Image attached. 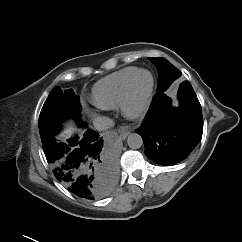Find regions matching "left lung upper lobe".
<instances>
[{
    "label": "left lung upper lobe",
    "mask_w": 242,
    "mask_h": 242,
    "mask_svg": "<svg viewBox=\"0 0 242 242\" xmlns=\"http://www.w3.org/2000/svg\"><path fill=\"white\" fill-rule=\"evenodd\" d=\"M149 60L156 65L159 74L158 88L156 92H164L170 84L181 75V72L167 59L149 58Z\"/></svg>",
    "instance_id": "left-lung-upper-lobe-1"
}]
</instances>
